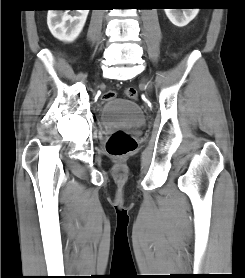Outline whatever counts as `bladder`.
Here are the masks:
<instances>
[{
  "label": "bladder",
  "instance_id": "31cf9c89",
  "mask_svg": "<svg viewBox=\"0 0 245 278\" xmlns=\"http://www.w3.org/2000/svg\"><path fill=\"white\" fill-rule=\"evenodd\" d=\"M100 121L104 127L114 125L127 130L144 125L143 113L139 106L134 102L119 98H113L104 104Z\"/></svg>",
  "mask_w": 245,
  "mask_h": 278
}]
</instances>
